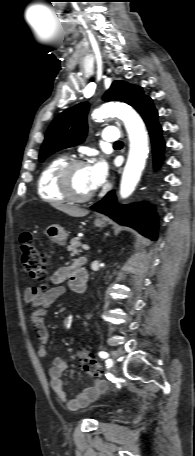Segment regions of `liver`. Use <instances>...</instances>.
<instances>
[{"instance_id":"obj_1","label":"liver","mask_w":195,"mask_h":456,"mask_svg":"<svg viewBox=\"0 0 195 456\" xmlns=\"http://www.w3.org/2000/svg\"><path fill=\"white\" fill-rule=\"evenodd\" d=\"M55 209L64 212L65 214L72 216V217H84L89 214V211L86 209H82L80 207L63 204V203H52L51 204Z\"/></svg>"}]
</instances>
